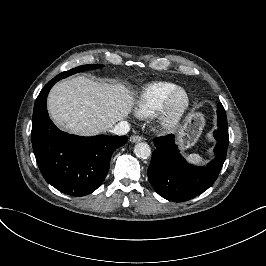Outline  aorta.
<instances>
[{
  "label": "aorta",
  "instance_id": "aorta-1",
  "mask_svg": "<svg viewBox=\"0 0 266 266\" xmlns=\"http://www.w3.org/2000/svg\"><path fill=\"white\" fill-rule=\"evenodd\" d=\"M134 153L138 158L146 160L151 156V148L147 143L142 142L135 146Z\"/></svg>",
  "mask_w": 266,
  "mask_h": 266
}]
</instances>
